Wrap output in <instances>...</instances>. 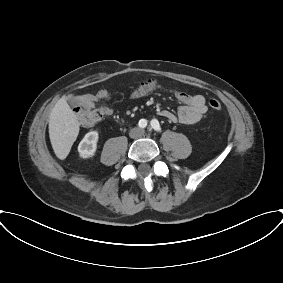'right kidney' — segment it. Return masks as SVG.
I'll list each match as a JSON object with an SVG mask.
<instances>
[{"label": "right kidney", "instance_id": "1", "mask_svg": "<svg viewBox=\"0 0 283 283\" xmlns=\"http://www.w3.org/2000/svg\"><path fill=\"white\" fill-rule=\"evenodd\" d=\"M98 138L99 134L97 131H90L84 136L78 145L80 157L90 158L94 156L97 149Z\"/></svg>", "mask_w": 283, "mask_h": 283}]
</instances>
